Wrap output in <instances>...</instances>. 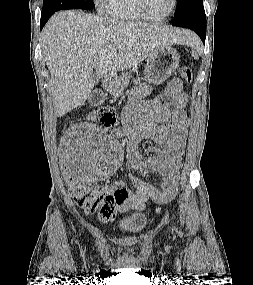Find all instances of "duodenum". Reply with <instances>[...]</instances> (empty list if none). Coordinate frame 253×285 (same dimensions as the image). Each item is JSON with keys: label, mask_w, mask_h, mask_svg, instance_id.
<instances>
[{"label": "duodenum", "mask_w": 253, "mask_h": 285, "mask_svg": "<svg viewBox=\"0 0 253 285\" xmlns=\"http://www.w3.org/2000/svg\"><path fill=\"white\" fill-rule=\"evenodd\" d=\"M102 85L107 90L111 88V82L108 79L104 80ZM101 100H102V95L99 92L93 93L90 98V101L93 105H98L101 102Z\"/></svg>", "instance_id": "410a0bca"}]
</instances>
